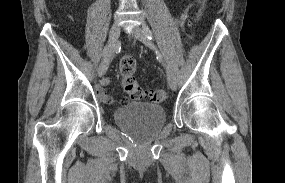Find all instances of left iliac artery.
Masks as SVG:
<instances>
[{"mask_svg":"<svg viewBox=\"0 0 285 183\" xmlns=\"http://www.w3.org/2000/svg\"><path fill=\"white\" fill-rule=\"evenodd\" d=\"M142 29H143V32L146 34L147 38L149 40H152L153 34H152L151 30L149 29V27L146 24H143ZM159 57L162 58L161 55H159Z\"/></svg>","mask_w":285,"mask_h":183,"instance_id":"left-iliac-artery-1","label":"left iliac artery"}]
</instances>
